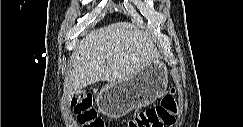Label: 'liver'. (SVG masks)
I'll use <instances>...</instances> for the list:
<instances>
[{
	"mask_svg": "<svg viewBox=\"0 0 243 127\" xmlns=\"http://www.w3.org/2000/svg\"><path fill=\"white\" fill-rule=\"evenodd\" d=\"M159 57L152 38L134 24L117 22L94 30L79 42L72 56L65 96L69 100L95 82L124 81Z\"/></svg>",
	"mask_w": 243,
	"mask_h": 127,
	"instance_id": "liver-1",
	"label": "liver"
}]
</instances>
